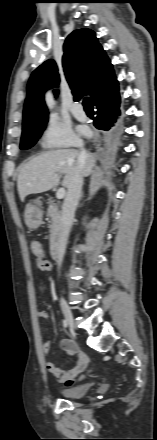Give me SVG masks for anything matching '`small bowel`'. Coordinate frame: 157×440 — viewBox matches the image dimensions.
I'll return each instance as SVG.
<instances>
[{
	"label": "small bowel",
	"mask_w": 157,
	"mask_h": 440,
	"mask_svg": "<svg viewBox=\"0 0 157 440\" xmlns=\"http://www.w3.org/2000/svg\"><path fill=\"white\" fill-rule=\"evenodd\" d=\"M52 268V265L48 263V266L46 267V270H50ZM39 317L41 319H47L49 317L48 313L46 311H39L38 313ZM59 347L63 349L68 357H76V360L74 364L68 368V369H62L60 367L55 366L52 363H47L46 368L48 372L55 377L59 382L66 383L70 379H74L77 377L81 372L84 371L87 365V356L84 352H82L78 345L71 340L63 339L59 343ZM51 348V341H46L42 345V350L46 354L50 351Z\"/></svg>",
	"instance_id": "c3829d8e"
}]
</instances>
